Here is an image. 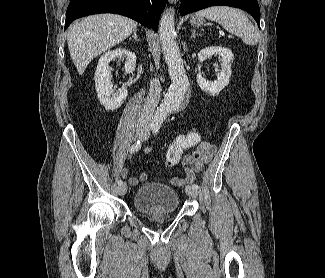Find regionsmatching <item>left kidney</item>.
I'll return each instance as SVG.
<instances>
[{"label": "left kidney", "mask_w": 325, "mask_h": 278, "mask_svg": "<svg viewBox=\"0 0 325 278\" xmlns=\"http://www.w3.org/2000/svg\"><path fill=\"white\" fill-rule=\"evenodd\" d=\"M213 55H219L223 59L221 72L217 75V80L208 81L201 74L197 75V84L202 91L210 95H218L228 84L232 74L231 66L234 59L231 50L224 47H207L198 53L200 62L210 58Z\"/></svg>", "instance_id": "obj_1"}]
</instances>
